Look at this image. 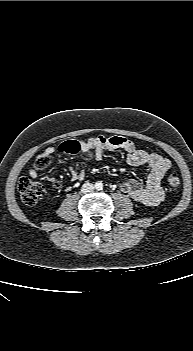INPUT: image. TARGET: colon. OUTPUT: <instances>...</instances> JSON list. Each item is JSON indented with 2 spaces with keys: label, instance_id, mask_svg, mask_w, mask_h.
Wrapping results in <instances>:
<instances>
[{
  "label": "colon",
  "instance_id": "obj_1",
  "mask_svg": "<svg viewBox=\"0 0 193 351\" xmlns=\"http://www.w3.org/2000/svg\"><path fill=\"white\" fill-rule=\"evenodd\" d=\"M53 154L45 155L36 161L37 169L48 166L52 161ZM84 158H90V154L86 152ZM180 185V176L176 171H172L167 176V186L170 189H176ZM18 190L22 201L27 205H34L38 202L44 193L42 184L29 178H21L18 183Z\"/></svg>",
  "mask_w": 193,
  "mask_h": 351
}]
</instances>
